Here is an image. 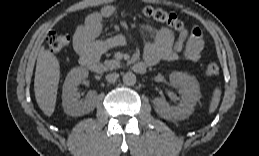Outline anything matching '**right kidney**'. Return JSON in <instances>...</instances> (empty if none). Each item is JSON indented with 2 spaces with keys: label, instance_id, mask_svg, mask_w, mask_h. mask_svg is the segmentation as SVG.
<instances>
[{
  "label": "right kidney",
  "instance_id": "1",
  "mask_svg": "<svg viewBox=\"0 0 259 156\" xmlns=\"http://www.w3.org/2000/svg\"><path fill=\"white\" fill-rule=\"evenodd\" d=\"M88 77V70L82 67L73 68L67 75L62 92L64 112L70 116L88 114L96 107V91H89L85 99L79 100L78 86Z\"/></svg>",
  "mask_w": 259,
  "mask_h": 156
}]
</instances>
